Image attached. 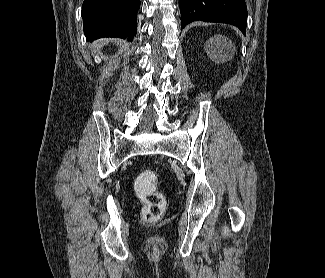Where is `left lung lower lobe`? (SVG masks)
I'll return each instance as SVG.
<instances>
[{"mask_svg": "<svg viewBox=\"0 0 325 278\" xmlns=\"http://www.w3.org/2000/svg\"><path fill=\"white\" fill-rule=\"evenodd\" d=\"M181 27L196 20L228 23L246 34L247 7L245 0H180Z\"/></svg>", "mask_w": 325, "mask_h": 278, "instance_id": "obj_1", "label": "left lung lower lobe"}]
</instances>
